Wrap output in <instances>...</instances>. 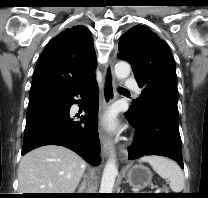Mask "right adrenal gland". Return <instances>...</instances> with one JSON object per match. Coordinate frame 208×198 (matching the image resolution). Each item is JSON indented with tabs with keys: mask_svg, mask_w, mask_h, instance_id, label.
<instances>
[{
	"mask_svg": "<svg viewBox=\"0 0 208 198\" xmlns=\"http://www.w3.org/2000/svg\"><path fill=\"white\" fill-rule=\"evenodd\" d=\"M86 186V179L84 177L83 187L77 191V193H81V190L84 189Z\"/></svg>",
	"mask_w": 208,
	"mask_h": 198,
	"instance_id": "2a0ac1e0",
	"label": "right adrenal gland"
}]
</instances>
